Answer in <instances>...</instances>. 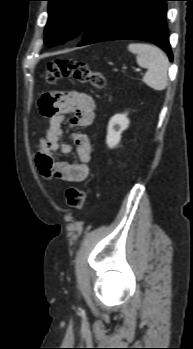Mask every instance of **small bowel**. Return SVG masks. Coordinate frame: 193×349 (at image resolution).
<instances>
[{"label":"small bowel","instance_id":"1","mask_svg":"<svg viewBox=\"0 0 193 349\" xmlns=\"http://www.w3.org/2000/svg\"><path fill=\"white\" fill-rule=\"evenodd\" d=\"M94 111V99L78 90L61 92L54 112L48 114L41 109V114L48 119V125L44 136L36 144V165L44 177L68 183L81 182L88 178L92 154L90 139L84 133H74L72 146L63 141L62 125L66 116L71 114L72 127H87L94 120ZM73 150L78 158L77 163L55 159L57 153L67 155Z\"/></svg>","mask_w":193,"mask_h":349}]
</instances>
